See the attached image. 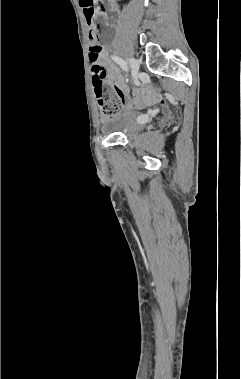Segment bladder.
Here are the masks:
<instances>
[{
  "label": "bladder",
  "mask_w": 241,
  "mask_h": 379,
  "mask_svg": "<svg viewBox=\"0 0 241 379\" xmlns=\"http://www.w3.org/2000/svg\"><path fill=\"white\" fill-rule=\"evenodd\" d=\"M151 116L145 117L134 111L116 114L104 125L103 131L107 134H123L130 136L151 122Z\"/></svg>",
  "instance_id": "bladder-1"
}]
</instances>
